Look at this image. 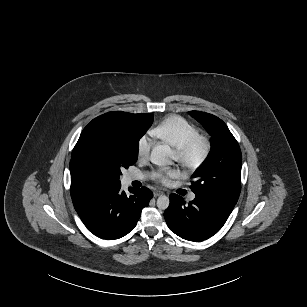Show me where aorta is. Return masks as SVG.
Masks as SVG:
<instances>
[{
  "mask_svg": "<svg viewBox=\"0 0 307 307\" xmlns=\"http://www.w3.org/2000/svg\"><path fill=\"white\" fill-rule=\"evenodd\" d=\"M173 150L168 144L161 143L157 145L150 156L152 163L156 165H169L172 163ZM170 203L169 198L166 195H161L157 199V207L159 209L165 210L168 208Z\"/></svg>",
  "mask_w": 307,
  "mask_h": 307,
  "instance_id": "762f6f07",
  "label": "aorta"
}]
</instances>
